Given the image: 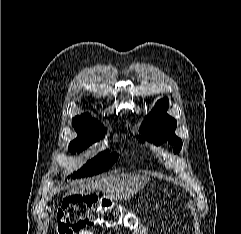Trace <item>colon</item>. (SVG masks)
Returning a JSON list of instances; mask_svg holds the SVG:
<instances>
[{
	"mask_svg": "<svg viewBox=\"0 0 241 234\" xmlns=\"http://www.w3.org/2000/svg\"><path fill=\"white\" fill-rule=\"evenodd\" d=\"M124 224L136 234H145V227L134 214L126 213L121 206L94 195H70L63 201L56 215L58 234H77L87 226L114 228Z\"/></svg>",
	"mask_w": 241,
	"mask_h": 234,
	"instance_id": "5ec220e1",
	"label": "colon"
}]
</instances>
